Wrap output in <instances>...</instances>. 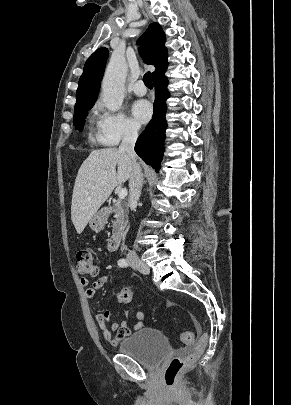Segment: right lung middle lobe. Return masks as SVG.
<instances>
[{
	"instance_id": "obj_1",
	"label": "right lung middle lobe",
	"mask_w": 291,
	"mask_h": 405,
	"mask_svg": "<svg viewBox=\"0 0 291 405\" xmlns=\"http://www.w3.org/2000/svg\"><path fill=\"white\" fill-rule=\"evenodd\" d=\"M91 108L92 107L74 112L73 124L76 126V129H78L79 131H81L83 129L84 123H85V118L88 114L89 109H91Z\"/></svg>"
}]
</instances>
